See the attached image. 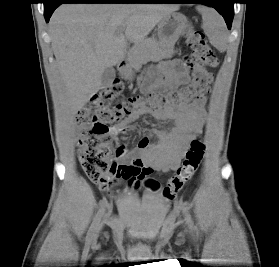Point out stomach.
<instances>
[{
    "label": "stomach",
    "instance_id": "stomach-1",
    "mask_svg": "<svg viewBox=\"0 0 279 267\" xmlns=\"http://www.w3.org/2000/svg\"><path fill=\"white\" fill-rule=\"evenodd\" d=\"M188 21L185 15L171 12L165 15L158 23L159 45L162 49L172 48L181 35L187 30ZM125 79H132L134 72L127 67L122 70Z\"/></svg>",
    "mask_w": 279,
    "mask_h": 267
}]
</instances>
